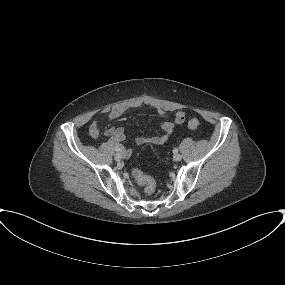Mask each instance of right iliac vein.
<instances>
[{"mask_svg":"<svg viewBox=\"0 0 285 285\" xmlns=\"http://www.w3.org/2000/svg\"><path fill=\"white\" fill-rule=\"evenodd\" d=\"M130 155H128L127 153H125L124 151H122L121 153H116L114 155V159L116 161H120L122 158H128Z\"/></svg>","mask_w":285,"mask_h":285,"instance_id":"1","label":"right iliac vein"}]
</instances>
